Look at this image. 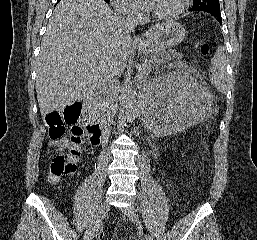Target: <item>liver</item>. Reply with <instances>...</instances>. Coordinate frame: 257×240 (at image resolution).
<instances>
[{"label": "liver", "mask_w": 257, "mask_h": 240, "mask_svg": "<svg viewBox=\"0 0 257 240\" xmlns=\"http://www.w3.org/2000/svg\"><path fill=\"white\" fill-rule=\"evenodd\" d=\"M119 21L103 0H62L56 6L36 69V93L43 116L62 111L103 82L121 76L132 38L119 31Z\"/></svg>", "instance_id": "1"}]
</instances>
